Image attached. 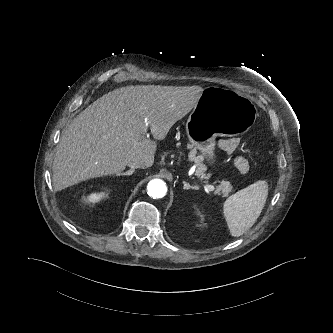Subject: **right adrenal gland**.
I'll return each instance as SVG.
<instances>
[{
	"instance_id": "right-adrenal-gland-1",
	"label": "right adrenal gland",
	"mask_w": 333,
	"mask_h": 333,
	"mask_svg": "<svg viewBox=\"0 0 333 333\" xmlns=\"http://www.w3.org/2000/svg\"><path fill=\"white\" fill-rule=\"evenodd\" d=\"M134 172H135V170H128V171L123 172V173H118V174H116V176H120V175H122V176H130V175H132Z\"/></svg>"
}]
</instances>
